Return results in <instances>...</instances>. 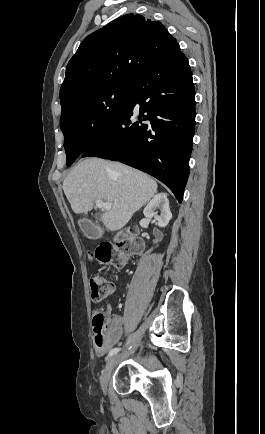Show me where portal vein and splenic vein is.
Returning a JSON list of instances; mask_svg holds the SVG:
<instances>
[{
	"label": "portal vein and splenic vein",
	"mask_w": 265,
	"mask_h": 434,
	"mask_svg": "<svg viewBox=\"0 0 265 434\" xmlns=\"http://www.w3.org/2000/svg\"><path fill=\"white\" fill-rule=\"evenodd\" d=\"M97 208H101L102 212L105 210H111L112 202H102V200H96L95 202Z\"/></svg>",
	"instance_id": "portal-vein-and-splenic-vein-1"
}]
</instances>
